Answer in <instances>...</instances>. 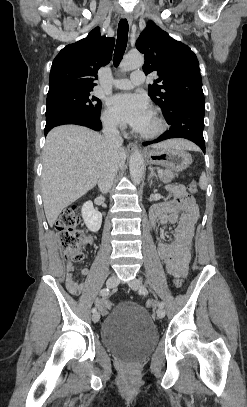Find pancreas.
Instances as JSON below:
<instances>
[{
  "label": "pancreas",
  "instance_id": "obj_1",
  "mask_svg": "<svg viewBox=\"0 0 247 407\" xmlns=\"http://www.w3.org/2000/svg\"><path fill=\"white\" fill-rule=\"evenodd\" d=\"M159 179L164 182V183H169L171 180L177 176V173L171 171V170H162L161 173H159Z\"/></svg>",
  "mask_w": 247,
  "mask_h": 407
}]
</instances>
